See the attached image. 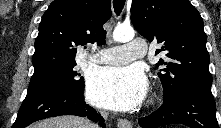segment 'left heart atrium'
Masks as SVG:
<instances>
[{
    "mask_svg": "<svg viewBox=\"0 0 221 128\" xmlns=\"http://www.w3.org/2000/svg\"><path fill=\"white\" fill-rule=\"evenodd\" d=\"M146 78L135 66L100 68L88 78L87 95L96 105L116 111L138 107L146 95Z\"/></svg>",
    "mask_w": 221,
    "mask_h": 128,
    "instance_id": "left-heart-atrium-1",
    "label": "left heart atrium"
}]
</instances>
